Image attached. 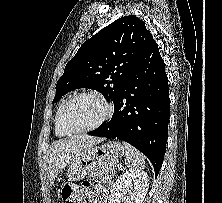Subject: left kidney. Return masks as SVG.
<instances>
[{
    "mask_svg": "<svg viewBox=\"0 0 222 203\" xmlns=\"http://www.w3.org/2000/svg\"><path fill=\"white\" fill-rule=\"evenodd\" d=\"M148 174L141 170H129L113 184L109 203H142L148 191Z\"/></svg>",
    "mask_w": 222,
    "mask_h": 203,
    "instance_id": "obj_1",
    "label": "left kidney"
}]
</instances>
